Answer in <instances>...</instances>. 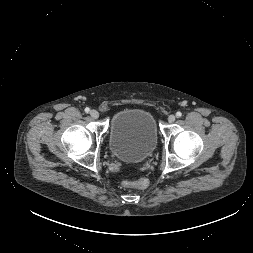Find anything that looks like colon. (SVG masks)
I'll return each instance as SVG.
<instances>
[{
    "label": "colon",
    "instance_id": "5ec220e1",
    "mask_svg": "<svg viewBox=\"0 0 253 253\" xmlns=\"http://www.w3.org/2000/svg\"><path fill=\"white\" fill-rule=\"evenodd\" d=\"M122 185L128 188L145 189L148 186V181L145 178H140L133 182L124 181Z\"/></svg>",
    "mask_w": 253,
    "mask_h": 253
}]
</instances>
